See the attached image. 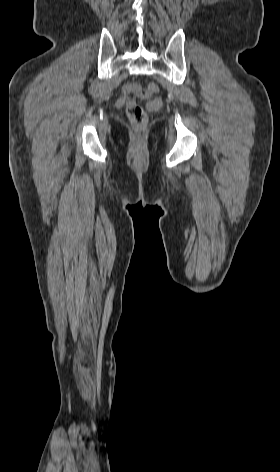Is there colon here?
Instances as JSON below:
<instances>
[{"instance_id":"1","label":"colon","mask_w":280,"mask_h":472,"mask_svg":"<svg viewBox=\"0 0 280 472\" xmlns=\"http://www.w3.org/2000/svg\"><path fill=\"white\" fill-rule=\"evenodd\" d=\"M159 92V86L150 82L144 88L140 89L136 95L131 98L126 104V114L131 123L137 129H143L147 124V114L144 109L138 104L136 97L151 98Z\"/></svg>"}]
</instances>
